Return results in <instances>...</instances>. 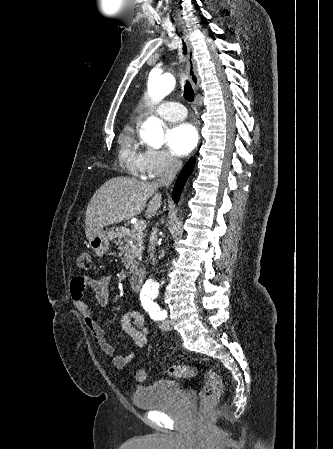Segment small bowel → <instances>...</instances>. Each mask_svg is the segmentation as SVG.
<instances>
[{
    "label": "small bowel",
    "instance_id": "1",
    "mask_svg": "<svg viewBox=\"0 0 333 449\" xmlns=\"http://www.w3.org/2000/svg\"><path fill=\"white\" fill-rule=\"evenodd\" d=\"M87 288L92 290L99 304L105 305L110 297V277L103 275L98 278H92L87 275H78L71 282L70 294L76 310L80 313L87 329L96 339L99 348L112 359L115 367L124 368L133 360L134 354L132 352L125 355L116 354L114 347L107 341L105 331L98 323L85 298ZM121 326L137 347L144 348L147 345L148 329L142 314L139 312L127 313L121 320Z\"/></svg>",
    "mask_w": 333,
    "mask_h": 449
}]
</instances>
